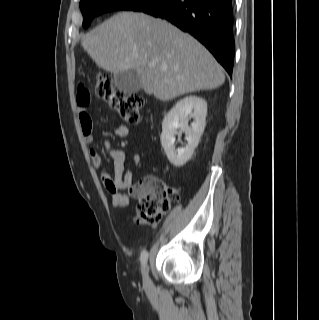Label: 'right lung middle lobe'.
<instances>
[{"label":"right lung middle lobe","mask_w":319,"mask_h":320,"mask_svg":"<svg viewBox=\"0 0 319 320\" xmlns=\"http://www.w3.org/2000/svg\"><path fill=\"white\" fill-rule=\"evenodd\" d=\"M154 0H81L83 27L87 28L95 16L114 10H133Z\"/></svg>","instance_id":"dd1d6c3e"}]
</instances>
